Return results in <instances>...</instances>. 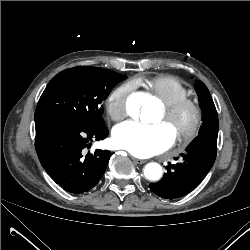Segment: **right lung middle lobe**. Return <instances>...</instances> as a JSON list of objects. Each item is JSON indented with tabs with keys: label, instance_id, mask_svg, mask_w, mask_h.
<instances>
[{
	"label": "right lung middle lobe",
	"instance_id": "dd1d6c3e",
	"mask_svg": "<svg viewBox=\"0 0 250 250\" xmlns=\"http://www.w3.org/2000/svg\"><path fill=\"white\" fill-rule=\"evenodd\" d=\"M126 76L98 67L81 66L57 74L41 95L35 119L48 118L104 125L102 104Z\"/></svg>",
	"mask_w": 250,
	"mask_h": 250
}]
</instances>
